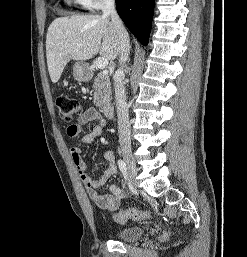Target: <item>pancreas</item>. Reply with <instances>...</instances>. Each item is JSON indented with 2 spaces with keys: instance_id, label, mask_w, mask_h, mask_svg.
<instances>
[{
  "instance_id": "cf45deb5",
  "label": "pancreas",
  "mask_w": 247,
  "mask_h": 257,
  "mask_svg": "<svg viewBox=\"0 0 247 257\" xmlns=\"http://www.w3.org/2000/svg\"><path fill=\"white\" fill-rule=\"evenodd\" d=\"M93 103L96 107L106 108L110 104L111 84L107 74L99 73L93 81Z\"/></svg>"
}]
</instances>
